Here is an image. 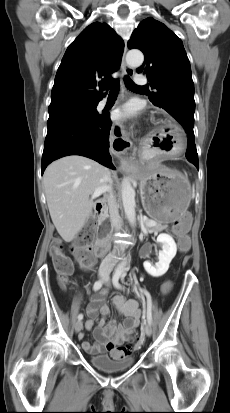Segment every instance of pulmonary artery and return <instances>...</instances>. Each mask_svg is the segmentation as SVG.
<instances>
[{
    "label": "pulmonary artery",
    "mask_w": 230,
    "mask_h": 413,
    "mask_svg": "<svg viewBox=\"0 0 230 413\" xmlns=\"http://www.w3.org/2000/svg\"><path fill=\"white\" fill-rule=\"evenodd\" d=\"M135 82H136V84H138V85H144V84L148 83V78H147L145 75H143V74H137V75L135 76ZM106 103H107V100H106V99L101 100V101L99 102V108L104 107V106L106 105Z\"/></svg>",
    "instance_id": "1"
}]
</instances>
